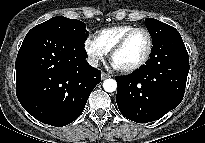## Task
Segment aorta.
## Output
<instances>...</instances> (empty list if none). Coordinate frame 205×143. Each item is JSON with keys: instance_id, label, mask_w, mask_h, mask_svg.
Listing matches in <instances>:
<instances>
[{"instance_id": "obj_1", "label": "aorta", "mask_w": 205, "mask_h": 143, "mask_svg": "<svg viewBox=\"0 0 205 143\" xmlns=\"http://www.w3.org/2000/svg\"><path fill=\"white\" fill-rule=\"evenodd\" d=\"M103 89L106 92H114L117 89V82L114 79H106L103 82Z\"/></svg>"}]
</instances>
